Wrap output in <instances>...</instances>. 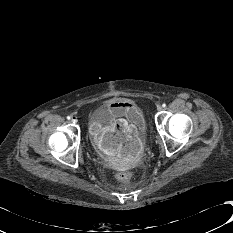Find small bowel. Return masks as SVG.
I'll use <instances>...</instances> for the list:
<instances>
[{
  "label": "small bowel",
  "mask_w": 233,
  "mask_h": 233,
  "mask_svg": "<svg viewBox=\"0 0 233 233\" xmlns=\"http://www.w3.org/2000/svg\"><path fill=\"white\" fill-rule=\"evenodd\" d=\"M109 106L116 113H125L132 118H136L138 113L137 107L126 99L113 100ZM92 133L98 146L117 161H133L142 154V141L133 131L110 129L103 133L101 128L95 125Z\"/></svg>",
  "instance_id": "1"
}]
</instances>
